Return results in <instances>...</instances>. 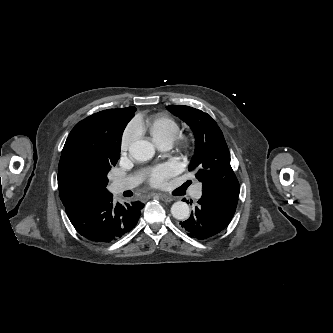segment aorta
Wrapping results in <instances>:
<instances>
[{
  "label": "aorta",
  "mask_w": 333,
  "mask_h": 333,
  "mask_svg": "<svg viewBox=\"0 0 333 333\" xmlns=\"http://www.w3.org/2000/svg\"><path fill=\"white\" fill-rule=\"evenodd\" d=\"M129 153L138 161H147L154 156L155 148L151 142L139 140L130 145ZM171 214L175 219L186 220L190 215V208L187 203L177 201L171 207Z\"/></svg>",
  "instance_id": "aorta-1"
}]
</instances>
